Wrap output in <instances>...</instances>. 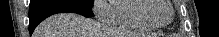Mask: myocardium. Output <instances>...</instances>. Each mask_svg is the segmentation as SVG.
Here are the masks:
<instances>
[{
	"instance_id": "obj_1",
	"label": "myocardium",
	"mask_w": 219,
	"mask_h": 37,
	"mask_svg": "<svg viewBox=\"0 0 219 37\" xmlns=\"http://www.w3.org/2000/svg\"><path fill=\"white\" fill-rule=\"evenodd\" d=\"M170 9H171V17L167 22H163V23H159V22H155L153 21L150 17H149V13L154 9V7L156 6L155 1L154 0H141L140 3V7H139V16L141 17V19L143 21H145L148 25L155 27V28H162L165 27L167 25H169L175 16V9L173 7V4L170 0H165Z\"/></svg>"
}]
</instances>
